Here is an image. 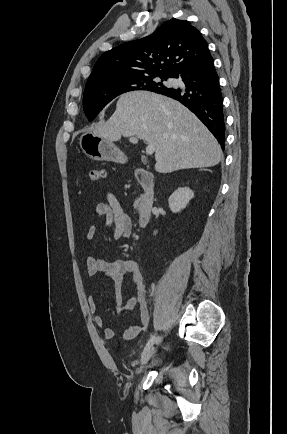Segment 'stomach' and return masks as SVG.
<instances>
[{
	"label": "stomach",
	"instance_id": "obj_1",
	"mask_svg": "<svg viewBox=\"0 0 287 434\" xmlns=\"http://www.w3.org/2000/svg\"><path fill=\"white\" fill-rule=\"evenodd\" d=\"M79 145L83 153L93 160L113 161L116 163H125L127 161L124 153L112 142L92 131H85L81 134Z\"/></svg>",
	"mask_w": 287,
	"mask_h": 434
}]
</instances>
